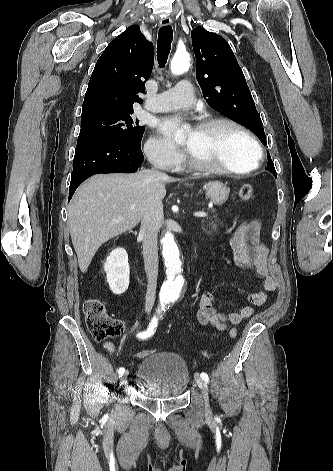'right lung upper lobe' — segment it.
<instances>
[{
    "label": "right lung upper lobe",
    "instance_id": "1",
    "mask_svg": "<svg viewBox=\"0 0 333 471\" xmlns=\"http://www.w3.org/2000/svg\"><path fill=\"white\" fill-rule=\"evenodd\" d=\"M154 63L153 45L132 25L112 40L98 59L85 94L81 118L133 109L141 104Z\"/></svg>",
    "mask_w": 333,
    "mask_h": 471
}]
</instances>
